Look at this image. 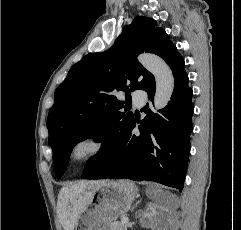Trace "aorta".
I'll return each instance as SVG.
<instances>
[{
  "label": "aorta",
  "mask_w": 241,
  "mask_h": 230,
  "mask_svg": "<svg viewBox=\"0 0 241 230\" xmlns=\"http://www.w3.org/2000/svg\"><path fill=\"white\" fill-rule=\"evenodd\" d=\"M138 60L155 77V108H164L170 101L174 90V77L171 69L160 57L153 54H142Z\"/></svg>",
  "instance_id": "1"
}]
</instances>
